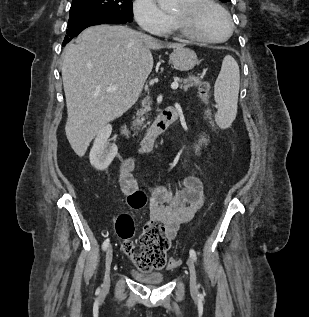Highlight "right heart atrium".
Wrapping results in <instances>:
<instances>
[{"label": "right heart atrium", "instance_id": "1", "mask_svg": "<svg viewBox=\"0 0 309 317\" xmlns=\"http://www.w3.org/2000/svg\"><path fill=\"white\" fill-rule=\"evenodd\" d=\"M132 9L136 22L148 33L160 34L172 24L170 16L159 7L156 0H134Z\"/></svg>", "mask_w": 309, "mask_h": 317}]
</instances>
